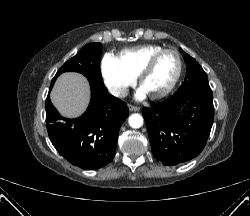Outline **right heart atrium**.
I'll return each instance as SVG.
<instances>
[{
  "label": "right heart atrium",
  "instance_id": "right-heart-atrium-1",
  "mask_svg": "<svg viewBox=\"0 0 250 216\" xmlns=\"http://www.w3.org/2000/svg\"><path fill=\"white\" fill-rule=\"evenodd\" d=\"M101 74L109 92L118 98L124 97L136 82V77L128 73L111 54H106L102 58Z\"/></svg>",
  "mask_w": 250,
  "mask_h": 216
}]
</instances>
